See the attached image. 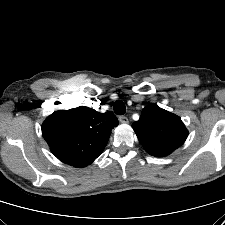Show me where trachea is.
Returning a JSON list of instances; mask_svg holds the SVG:
<instances>
[{"label":"trachea","instance_id":"trachea-1","mask_svg":"<svg viewBox=\"0 0 225 225\" xmlns=\"http://www.w3.org/2000/svg\"><path fill=\"white\" fill-rule=\"evenodd\" d=\"M114 112L118 115H123L126 112L125 104L121 100L114 103Z\"/></svg>","mask_w":225,"mask_h":225}]
</instances>
